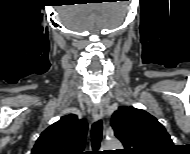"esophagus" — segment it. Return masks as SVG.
<instances>
[{
	"instance_id": "1",
	"label": "esophagus",
	"mask_w": 190,
	"mask_h": 154,
	"mask_svg": "<svg viewBox=\"0 0 190 154\" xmlns=\"http://www.w3.org/2000/svg\"><path fill=\"white\" fill-rule=\"evenodd\" d=\"M104 115V108L102 103H99L97 105L94 106L93 110H92V117L94 120H100Z\"/></svg>"
}]
</instances>
